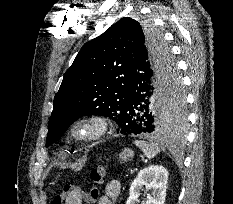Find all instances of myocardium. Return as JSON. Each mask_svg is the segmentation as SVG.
Returning <instances> with one entry per match:
<instances>
[{"label":"myocardium","instance_id":"1","mask_svg":"<svg viewBox=\"0 0 233 204\" xmlns=\"http://www.w3.org/2000/svg\"><path fill=\"white\" fill-rule=\"evenodd\" d=\"M109 121L100 115H91L76 119L69 127V135L78 142L98 140L109 130ZM86 131L80 134V131Z\"/></svg>","mask_w":233,"mask_h":204}]
</instances>
